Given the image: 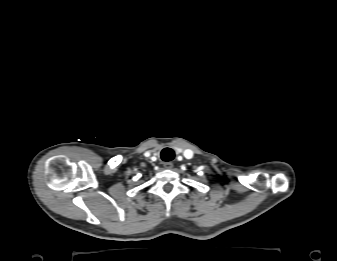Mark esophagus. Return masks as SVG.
Returning <instances> with one entry per match:
<instances>
[{
    "label": "esophagus",
    "mask_w": 337,
    "mask_h": 261,
    "mask_svg": "<svg viewBox=\"0 0 337 261\" xmlns=\"http://www.w3.org/2000/svg\"><path fill=\"white\" fill-rule=\"evenodd\" d=\"M172 167H173V163L172 162H165L164 163V168L171 169Z\"/></svg>",
    "instance_id": "1"
}]
</instances>
